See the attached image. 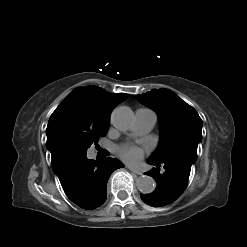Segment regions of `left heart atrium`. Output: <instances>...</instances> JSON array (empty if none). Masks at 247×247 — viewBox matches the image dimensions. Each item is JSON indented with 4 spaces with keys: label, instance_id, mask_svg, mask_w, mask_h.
<instances>
[{
    "label": "left heart atrium",
    "instance_id": "obj_1",
    "mask_svg": "<svg viewBox=\"0 0 247 247\" xmlns=\"http://www.w3.org/2000/svg\"><path fill=\"white\" fill-rule=\"evenodd\" d=\"M118 154L126 162L136 164L142 159L144 151L136 145L126 144L118 149Z\"/></svg>",
    "mask_w": 247,
    "mask_h": 247
}]
</instances>
